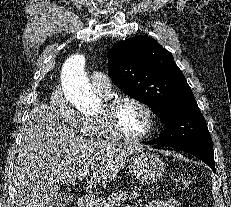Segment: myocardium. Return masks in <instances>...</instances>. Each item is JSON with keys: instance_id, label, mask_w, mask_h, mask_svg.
<instances>
[{"instance_id": "obj_1", "label": "myocardium", "mask_w": 231, "mask_h": 207, "mask_svg": "<svg viewBox=\"0 0 231 207\" xmlns=\"http://www.w3.org/2000/svg\"><path fill=\"white\" fill-rule=\"evenodd\" d=\"M126 102L135 103L140 106L146 113L148 118L147 130L138 136H129L123 132L116 121L118 108ZM99 118L107 134L119 141L127 143H136L149 139L156 130V115L153 109L143 100L131 95H118L105 100Z\"/></svg>"}]
</instances>
